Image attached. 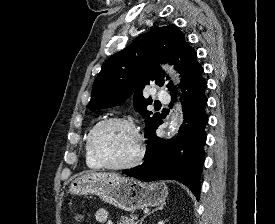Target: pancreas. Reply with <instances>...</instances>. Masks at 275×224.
Returning a JSON list of instances; mask_svg holds the SVG:
<instances>
[{
	"mask_svg": "<svg viewBox=\"0 0 275 224\" xmlns=\"http://www.w3.org/2000/svg\"><path fill=\"white\" fill-rule=\"evenodd\" d=\"M136 217L128 218V217H121L117 224H135Z\"/></svg>",
	"mask_w": 275,
	"mask_h": 224,
	"instance_id": "1",
	"label": "pancreas"
}]
</instances>
